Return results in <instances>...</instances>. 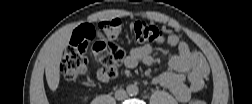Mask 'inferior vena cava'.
Listing matches in <instances>:
<instances>
[{
    "instance_id": "1",
    "label": "inferior vena cava",
    "mask_w": 252,
    "mask_h": 104,
    "mask_svg": "<svg viewBox=\"0 0 252 104\" xmlns=\"http://www.w3.org/2000/svg\"><path fill=\"white\" fill-rule=\"evenodd\" d=\"M115 98L117 100H124L127 98V93L124 89H118L115 91Z\"/></svg>"
}]
</instances>
